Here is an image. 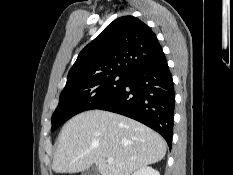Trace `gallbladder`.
<instances>
[{"instance_id": "obj_1", "label": "gallbladder", "mask_w": 233, "mask_h": 175, "mask_svg": "<svg viewBox=\"0 0 233 175\" xmlns=\"http://www.w3.org/2000/svg\"><path fill=\"white\" fill-rule=\"evenodd\" d=\"M81 175H99V170L97 166L94 164L85 171H83Z\"/></svg>"}]
</instances>
